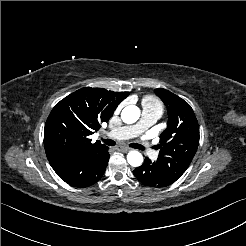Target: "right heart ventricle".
<instances>
[{
  "label": "right heart ventricle",
  "instance_id": "e07e8e85",
  "mask_svg": "<svg viewBox=\"0 0 246 246\" xmlns=\"http://www.w3.org/2000/svg\"><path fill=\"white\" fill-rule=\"evenodd\" d=\"M142 106L144 110H156L160 114H162L164 110L163 103L152 95H145L142 97Z\"/></svg>",
  "mask_w": 246,
  "mask_h": 246
}]
</instances>
